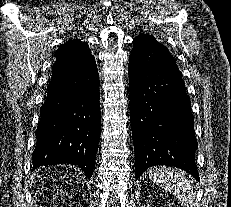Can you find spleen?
<instances>
[{
    "label": "spleen",
    "instance_id": "3e777b00",
    "mask_svg": "<svg viewBox=\"0 0 231 207\" xmlns=\"http://www.w3.org/2000/svg\"><path fill=\"white\" fill-rule=\"evenodd\" d=\"M149 178L157 185L172 192L184 205H191L195 200L192 185L184 173L171 167H154L148 170Z\"/></svg>",
    "mask_w": 231,
    "mask_h": 207
}]
</instances>
